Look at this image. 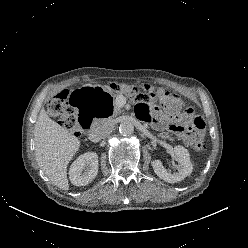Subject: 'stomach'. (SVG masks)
Wrapping results in <instances>:
<instances>
[{"label": "stomach", "instance_id": "0dacf381", "mask_svg": "<svg viewBox=\"0 0 248 248\" xmlns=\"http://www.w3.org/2000/svg\"><path fill=\"white\" fill-rule=\"evenodd\" d=\"M69 102L75 111L91 112L96 119L101 121L111 119L117 110L111 91L102 85L76 87L70 94Z\"/></svg>", "mask_w": 248, "mask_h": 248}]
</instances>
